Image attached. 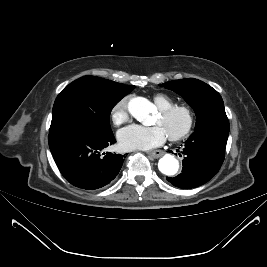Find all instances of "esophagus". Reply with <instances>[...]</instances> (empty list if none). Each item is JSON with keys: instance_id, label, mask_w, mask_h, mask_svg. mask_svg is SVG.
<instances>
[{"instance_id": "1", "label": "esophagus", "mask_w": 267, "mask_h": 267, "mask_svg": "<svg viewBox=\"0 0 267 267\" xmlns=\"http://www.w3.org/2000/svg\"><path fill=\"white\" fill-rule=\"evenodd\" d=\"M148 154L150 156H152L153 158H159V157H161L164 154V151H162V150H155V151L149 152Z\"/></svg>"}]
</instances>
